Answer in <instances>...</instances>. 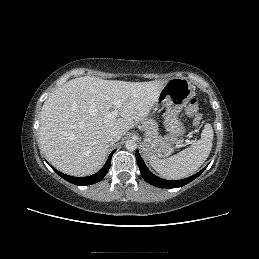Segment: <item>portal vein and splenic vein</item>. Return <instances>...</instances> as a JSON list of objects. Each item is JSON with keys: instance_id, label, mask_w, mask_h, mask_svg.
Returning <instances> with one entry per match:
<instances>
[{"instance_id": "18ae733b", "label": "portal vein and splenic vein", "mask_w": 259, "mask_h": 259, "mask_svg": "<svg viewBox=\"0 0 259 259\" xmlns=\"http://www.w3.org/2000/svg\"><path fill=\"white\" fill-rule=\"evenodd\" d=\"M113 104H114L115 109L113 111H109L107 113L106 117L108 119H114L118 116V111L123 104V100H121V99L115 100V101H113Z\"/></svg>"}]
</instances>
